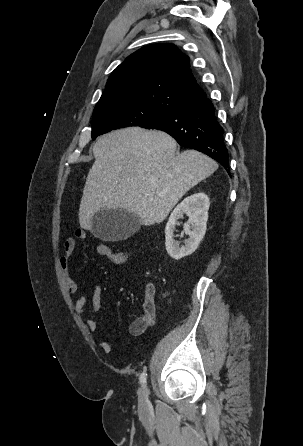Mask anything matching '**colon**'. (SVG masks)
I'll return each instance as SVG.
<instances>
[{"mask_svg": "<svg viewBox=\"0 0 303 446\" xmlns=\"http://www.w3.org/2000/svg\"><path fill=\"white\" fill-rule=\"evenodd\" d=\"M101 256L105 257L112 263L120 264L127 260L129 256V252L127 251H118L113 252L106 244L101 243V248L98 252Z\"/></svg>", "mask_w": 303, "mask_h": 446, "instance_id": "obj_1", "label": "colon"}]
</instances>
